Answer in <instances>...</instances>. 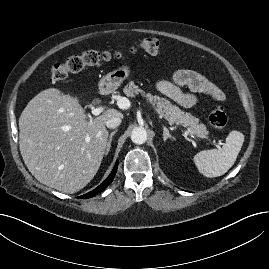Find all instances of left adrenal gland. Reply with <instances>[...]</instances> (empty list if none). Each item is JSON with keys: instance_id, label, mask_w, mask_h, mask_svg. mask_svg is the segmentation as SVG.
<instances>
[{"instance_id": "obj_1", "label": "left adrenal gland", "mask_w": 269, "mask_h": 269, "mask_svg": "<svg viewBox=\"0 0 269 269\" xmlns=\"http://www.w3.org/2000/svg\"><path fill=\"white\" fill-rule=\"evenodd\" d=\"M168 138L175 139L173 136H171L169 130L163 126V140L166 141Z\"/></svg>"}]
</instances>
